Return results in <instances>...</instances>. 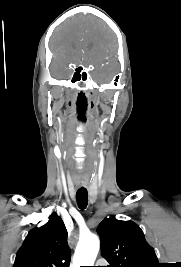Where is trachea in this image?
<instances>
[{
	"label": "trachea",
	"instance_id": "trachea-1",
	"mask_svg": "<svg viewBox=\"0 0 181 267\" xmlns=\"http://www.w3.org/2000/svg\"><path fill=\"white\" fill-rule=\"evenodd\" d=\"M76 201L78 207L84 210L88 204V192L85 188H80L76 193Z\"/></svg>",
	"mask_w": 181,
	"mask_h": 267
}]
</instances>
